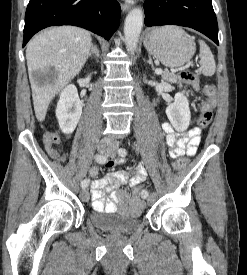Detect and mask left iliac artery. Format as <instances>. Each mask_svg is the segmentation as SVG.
<instances>
[{
    "instance_id": "44dca946",
    "label": "left iliac artery",
    "mask_w": 247,
    "mask_h": 275,
    "mask_svg": "<svg viewBox=\"0 0 247 275\" xmlns=\"http://www.w3.org/2000/svg\"><path fill=\"white\" fill-rule=\"evenodd\" d=\"M118 154L120 155V156H122V157H125L126 155H127V149L126 148H120L119 150H118ZM144 191V190H143ZM142 191V197H143V195L145 196V197H147L148 196V191L147 192H143Z\"/></svg>"
}]
</instances>
